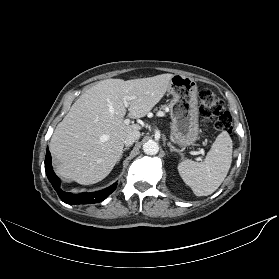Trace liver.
Here are the masks:
<instances>
[{"mask_svg":"<svg viewBox=\"0 0 279 279\" xmlns=\"http://www.w3.org/2000/svg\"><path fill=\"white\" fill-rule=\"evenodd\" d=\"M172 77L106 79L85 91L51 137L49 147L57 160V173L82 185L108 176L122 154L128 133L141 129L138 124L124 123V97H134L128 101V116L142 118L162 99Z\"/></svg>","mask_w":279,"mask_h":279,"instance_id":"6515ba94","label":"liver"}]
</instances>
